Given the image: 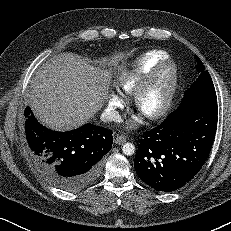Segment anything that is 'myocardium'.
<instances>
[{"label": "myocardium", "mask_w": 231, "mask_h": 231, "mask_svg": "<svg viewBox=\"0 0 231 231\" xmlns=\"http://www.w3.org/2000/svg\"><path fill=\"white\" fill-rule=\"evenodd\" d=\"M166 69L168 70V82L161 104L153 112L145 113L143 111L144 101L153 91ZM178 79V66L173 59L165 58L158 62L145 80L135 90L134 98L137 109L150 120H159L166 116L173 105Z\"/></svg>", "instance_id": "f54148a6"}]
</instances>
